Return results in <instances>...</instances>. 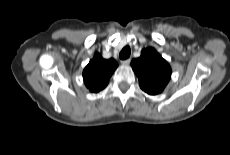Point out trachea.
<instances>
[{
	"instance_id": "trachea-1",
	"label": "trachea",
	"mask_w": 230,
	"mask_h": 155,
	"mask_svg": "<svg viewBox=\"0 0 230 155\" xmlns=\"http://www.w3.org/2000/svg\"><path fill=\"white\" fill-rule=\"evenodd\" d=\"M130 54H131L130 48L128 46H125L121 50L119 57H120V59L125 60V59L129 58Z\"/></svg>"
}]
</instances>
